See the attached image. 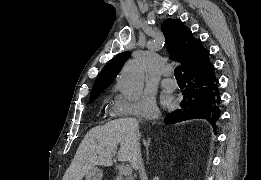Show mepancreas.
I'll return each instance as SVG.
<instances>
[{
  "label": "pancreas",
  "mask_w": 261,
  "mask_h": 180,
  "mask_svg": "<svg viewBox=\"0 0 261 180\" xmlns=\"http://www.w3.org/2000/svg\"><path fill=\"white\" fill-rule=\"evenodd\" d=\"M126 174L125 173H119L117 176V180H125Z\"/></svg>",
  "instance_id": "obj_1"
}]
</instances>
